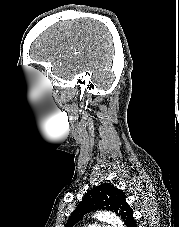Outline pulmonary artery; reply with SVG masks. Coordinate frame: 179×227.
<instances>
[{"instance_id": "obj_1", "label": "pulmonary artery", "mask_w": 179, "mask_h": 227, "mask_svg": "<svg viewBox=\"0 0 179 227\" xmlns=\"http://www.w3.org/2000/svg\"><path fill=\"white\" fill-rule=\"evenodd\" d=\"M88 227H112V226L109 224H92L89 225Z\"/></svg>"}]
</instances>
